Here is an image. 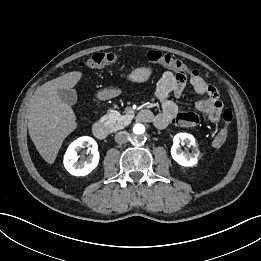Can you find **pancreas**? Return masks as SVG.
<instances>
[{"mask_svg":"<svg viewBox=\"0 0 261 261\" xmlns=\"http://www.w3.org/2000/svg\"><path fill=\"white\" fill-rule=\"evenodd\" d=\"M106 124L112 131L123 129L131 122L129 115H121L118 111L112 110L105 115Z\"/></svg>","mask_w":261,"mask_h":261,"instance_id":"cf45deb5","label":"pancreas"}]
</instances>
